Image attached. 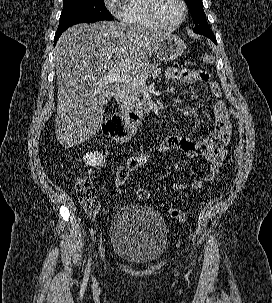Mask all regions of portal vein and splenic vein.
<instances>
[{
	"instance_id": "obj_1",
	"label": "portal vein and splenic vein",
	"mask_w": 272,
	"mask_h": 303,
	"mask_svg": "<svg viewBox=\"0 0 272 303\" xmlns=\"http://www.w3.org/2000/svg\"><path fill=\"white\" fill-rule=\"evenodd\" d=\"M98 82L103 83H118V84H133V85H139V86H145L146 81L144 79H139L136 77H132L130 75L126 74H117L113 73L110 75L105 76L104 78L100 79Z\"/></svg>"
}]
</instances>
